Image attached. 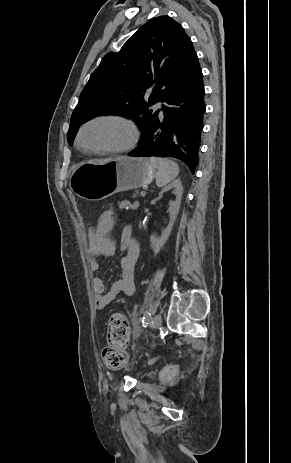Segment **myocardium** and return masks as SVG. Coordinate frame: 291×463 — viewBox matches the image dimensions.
<instances>
[{
  "instance_id": "obj_1",
  "label": "myocardium",
  "mask_w": 291,
  "mask_h": 463,
  "mask_svg": "<svg viewBox=\"0 0 291 463\" xmlns=\"http://www.w3.org/2000/svg\"><path fill=\"white\" fill-rule=\"evenodd\" d=\"M104 121L119 122L125 125L129 131V138L124 145L111 147H86L82 145L81 138L83 132L92 124ZM140 132L136 123L129 117L119 113H109L94 116L82 123L77 131L76 146L85 153L89 154H122L131 151L138 143Z\"/></svg>"
}]
</instances>
